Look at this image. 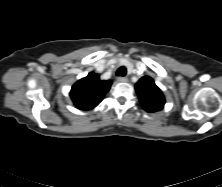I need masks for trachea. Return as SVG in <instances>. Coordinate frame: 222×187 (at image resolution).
<instances>
[{"instance_id": "obj_1", "label": "trachea", "mask_w": 222, "mask_h": 187, "mask_svg": "<svg viewBox=\"0 0 222 187\" xmlns=\"http://www.w3.org/2000/svg\"><path fill=\"white\" fill-rule=\"evenodd\" d=\"M126 72H127L126 68L122 66L117 70L116 75L123 77L126 75Z\"/></svg>"}]
</instances>
